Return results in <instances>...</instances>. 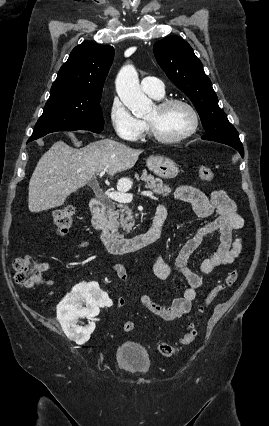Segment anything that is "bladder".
I'll return each mask as SVG.
<instances>
[{
  "instance_id": "bladder-1",
  "label": "bladder",
  "mask_w": 269,
  "mask_h": 426,
  "mask_svg": "<svg viewBox=\"0 0 269 426\" xmlns=\"http://www.w3.org/2000/svg\"><path fill=\"white\" fill-rule=\"evenodd\" d=\"M115 359L122 368L136 374L146 373L151 367L147 350L142 345L128 340L118 345Z\"/></svg>"
}]
</instances>
